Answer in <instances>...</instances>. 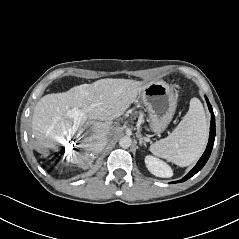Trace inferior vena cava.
I'll list each match as a JSON object with an SVG mask.
<instances>
[{
	"label": "inferior vena cava",
	"instance_id": "inferior-vena-cava-1",
	"mask_svg": "<svg viewBox=\"0 0 239 239\" xmlns=\"http://www.w3.org/2000/svg\"><path fill=\"white\" fill-rule=\"evenodd\" d=\"M108 140H107V137L103 136V137H100L97 142L95 143L94 145V149L97 151V152H100L104 149L105 145L107 144Z\"/></svg>",
	"mask_w": 239,
	"mask_h": 239
}]
</instances>
